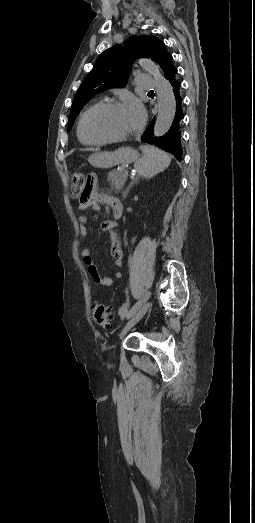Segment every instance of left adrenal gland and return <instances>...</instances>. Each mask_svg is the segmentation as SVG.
<instances>
[{
	"label": "left adrenal gland",
	"instance_id": "left-adrenal-gland-1",
	"mask_svg": "<svg viewBox=\"0 0 255 523\" xmlns=\"http://www.w3.org/2000/svg\"><path fill=\"white\" fill-rule=\"evenodd\" d=\"M136 180H138V178H131V182H130L128 188H126L125 192H123L124 200H125V198H127V194L129 192L130 188H132L133 184H135Z\"/></svg>",
	"mask_w": 255,
	"mask_h": 523
}]
</instances>
